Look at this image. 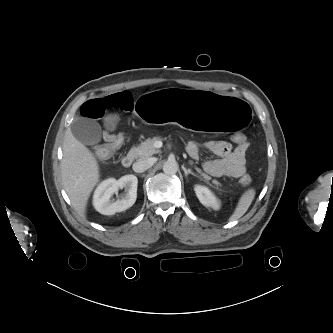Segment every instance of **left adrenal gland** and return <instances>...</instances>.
<instances>
[{
	"mask_svg": "<svg viewBox=\"0 0 333 333\" xmlns=\"http://www.w3.org/2000/svg\"><path fill=\"white\" fill-rule=\"evenodd\" d=\"M184 173H185V177L187 178L189 174L196 176L198 178H200V176L194 172H192L190 169H186L184 166L182 167Z\"/></svg>",
	"mask_w": 333,
	"mask_h": 333,
	"instance_id": "obj_1",
	"label": "left adrenal gland"
}]
</instances>
